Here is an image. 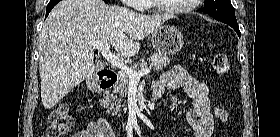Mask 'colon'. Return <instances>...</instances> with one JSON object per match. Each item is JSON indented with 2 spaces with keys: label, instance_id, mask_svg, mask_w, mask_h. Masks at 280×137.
I'll list each match as a JSON object with an SVG mask.
<instances>
[{
  "label": "colon",
  "instance_id": "colon-1",
  "mask_svg": "<svg viewBox=\"0 0 280 137\" xmlns=\"http://www.w3.org/2000/svg\"><path fill=\"white\" fill-rule=\"evenodd\" d=\"M213 71L217 75H224L228 73L230 69V62L228 57L223 53H217L213 57L212 61ZM73 125V118L69 114L67 105L65 103H59L56 105L49 114L47 136L48 137H62L66 134ZM91 133L94 135H100L102 137H113L110 134V130L100 125L95 124L91 128Z\"/></svg>",
  "mask_w": 280,
  "mask_h": 137
}]
</instances>
